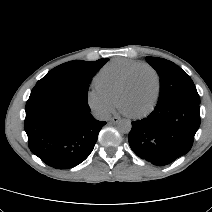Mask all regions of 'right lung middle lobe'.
<instances>
[{
	"mask_svg": "<svg viewBox=\"0 0 212 212\" xmlns=\"http://www.w3.org/2000/svg\"><path fill=\"white\" fill-rule=\"evenodd\" d=\"M107 61L108 59H99L94 62L74 60L63 63L50 70L36 83L32 91L37 89L62 90L86 98L91 78Z\"/></svg>",
	"mask_w": 212,
	"mask_h": 212,
	"instance_id": "dd1d6c3e",
	"label": "right lung middle lobe"
}]
</instances>
